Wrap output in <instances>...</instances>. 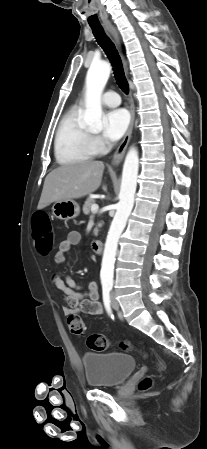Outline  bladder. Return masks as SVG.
I'll return each instance as SVG.
<instances>
[{
	"label": "bladder",
	"instance_id": "1",
	"mask_svg": "<svg viewBox=\"0 0 207 449\" xmlns=\"http://www.w3.org/2000/svg\"><path fill=\"white\" fill-rule=\"evenodd\" d=\"M82 363L86 381L94 387L118 386L126 381L136 368L135 359L120 352H87Z\"/></svg>",
	"mask_w": 207,
	"mask_h": 449
}]
</instances>
